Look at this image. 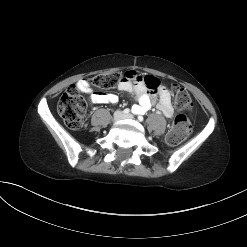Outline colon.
<instances>
[{
    "label": "colon",
    "mask_w": 247,
    "mask_h": 247,
    "mask_svg": "<svg viewBox=\"0 0 247 247\" xmlns=\"http://www.w3.org/2000/svg\"><path fill=\"white\" fill-rule=\"evenodd\" d=\"M124 76L120 73L99 74L92 77L90 82L97 88L111 89L117 86ZM174 92L175 104L180 110V113L176 116L174 123L166 135V141L170 145L181 143L189 135L191 125L183 111L191 109L193 105L191 96L187 90L174 86ZM57 111L68 128L78 130L83 126L86 104L78 94L76 87L68 88L61 96L57 105Z\"/></svg>",
    "instance_id": "5ec220e1"
}]
</instances>
